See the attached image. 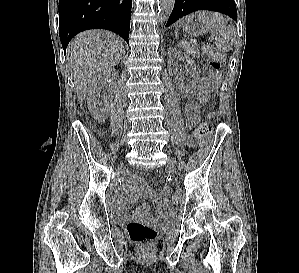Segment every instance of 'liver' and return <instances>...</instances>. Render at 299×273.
Returning <instances> with one entry per match:
<instances>
[{"instance_id": "obj_1", "label": "liver", "mask_w": 299, "mask_h": 273, "mask_svg": "<svg viewBox=\"0 0 299 273\" xmlns=\"http://www.w3.org/2000/svg\"><path fill=\"white\" fill-rule=\"evenodd\" d=\"M123 53V40L108 31L90 30L74 37L68 45L66 61L79 102L84 100L90 81L99 72L114 67Z\"/></svg>"}]
</instances>
